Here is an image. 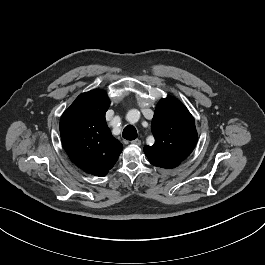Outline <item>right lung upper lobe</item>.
Segmentation results:
<instances>
[{
	"mask_svg": "<svg viewBox=\"0 0 265 265\" xmlns=\"http://www.w3.org/2000/svg\"><path fill=\"white\" fill-rule=\"evenodd\" d=\"M107 93L95 89L80 94L63 113L60 135L70 160L86 173L103 177L116 163L123 145L106 124Z\"/></svg>",
	"mask_w": 265,
	"mask_h": 265,
	"instance_id": "1",
	"label": "right lung upper lobe"
}]
</instances>
